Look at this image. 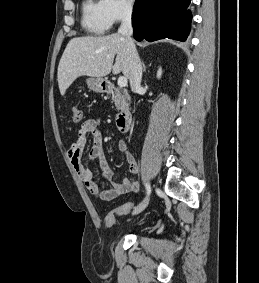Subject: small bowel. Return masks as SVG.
<instances>
[{
    "mask_svg": "<svg viewBox=\"0 0 259 283\" xmlns=\"http://www.w3.org/2000/svg\"><path fill=\"white\" fill-rule=\"evenodd\" d=\"M92 135V144L86 156L87 162L98 161L102 170V179L110 184V188L102 190L93 178L90 168L83 163L82 155L84 153L87 136ZM118 151L123 154L128 163L131 177L124 178L121 183L114 180L113 170L108 165L104 150L103 138L100 128V122L96 118L87 119L80 127L78 137L67 152L68 160L77 172L89 192L101 201H111L127 193H138L140 191L139 183L133 178L138 172V165L134 156L128 152L125 141H120L117 146Z\"/></svg>",
    "mask_w": 259,
    "mask_h": 283,
    "instance_id": "1",
    "label": "small bowel"
}]
</instances>
